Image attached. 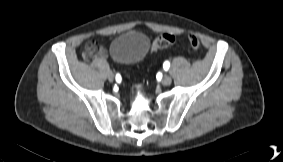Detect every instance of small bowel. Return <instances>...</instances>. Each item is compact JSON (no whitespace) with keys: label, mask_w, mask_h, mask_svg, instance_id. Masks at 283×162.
Masks as SVG:
<instances>
[{"label":"small bowel","mask_w":283,"mask_h":162,"mask_svg":"<svg viewBox=\"0 0 283 162\" xmlns=\"http://www.w3.org/2000/svg\"><path fill=\"white\" fill-rule=\"evenodd\" d=\"M86 51L88 55H92L97 52L98 55L102 58L107 56V51L104 47H96L95 45H90L87 47Z\"/></svg>","instance_id":"obj_1"}]
</instances>
